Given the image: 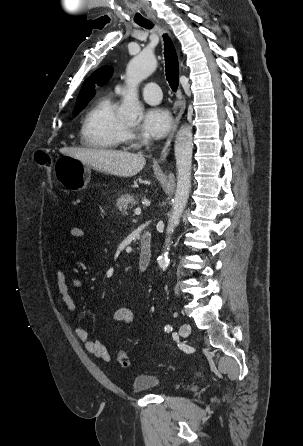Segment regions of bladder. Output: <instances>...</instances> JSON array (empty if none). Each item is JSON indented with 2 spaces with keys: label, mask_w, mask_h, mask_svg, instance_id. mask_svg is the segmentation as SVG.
Wrapping results in <instances>:
<instances>
[{
  "label": "bladder",
  "mask_w": 303,
  "mask_h": 446,
  "mask_svg": "<svg viewBox=\"0 0 303 446\" xmlns=\"http://www.w3.org/2000/svg\"><path fill=\"white\" fill-rule=\"evenodd\" d=\"M161 385L160 379L152 374H140L133 380L132 388L134 392L142 393L154 390Z\"/></svg>",
  "instance_id": "31cf9c89"
}]
</instances>
